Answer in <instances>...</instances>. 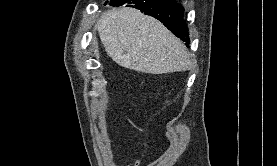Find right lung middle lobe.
Segmentation results:
<instances>
[{
    "label": "right lung middle lobe",
    "instance_id": "right-lung-middle-lobe-1",
    "mask_svg": "<svg viewBox=\"0 0 277 166\" xmlns=\"http://www.w3.org/2000/svg\"><path fill=\"white\" fill-rule=\"evenodd\" d=\"M117 1H119V0H111L110 4H113V3L117 2Z\"/></svg>",
    "mask_w": 277,
    "mask_h": 166
}]
</instances>
